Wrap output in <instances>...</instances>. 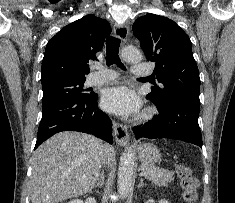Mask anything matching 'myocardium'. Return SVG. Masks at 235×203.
I'll return each instance as SVG.
<instances>
[{"mask_svg":"<svg viewBox=\"0 0 235 203\" xmlns=\"http://www.w3.org/2000/svg\"><path fill=\"white\" fill-rule=\"evenodd\" d=\"M153 114H154V110L153 109H149V110H147L145 112L144 117L145 118H150L151 116H153Z\"/></svg>","mask_w":235,"mask_h":203,"instance_id":"myocardium-1","label":"myocardium"}]
</instances>
